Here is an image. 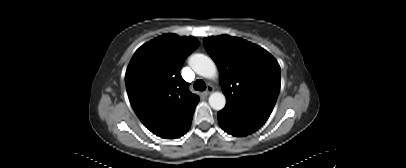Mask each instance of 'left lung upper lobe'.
Segmentation results:
<instances>
[{"label":"left lung upper lobe","mask_w":406,"mask_h":168,"mask_svg":"<svg viewBox=\"0 0 406 168\" xmlns=\"http://www.w3.org/2000/svg\"><path fill=\"white\" fill-rule=\"evenodd\" d=\"M204 46L220 71L226 105L268 119L280 90V66L258 45L238 37H207Z\"/></svg>","instance_id":"5c2ea615"}]
</instances>
